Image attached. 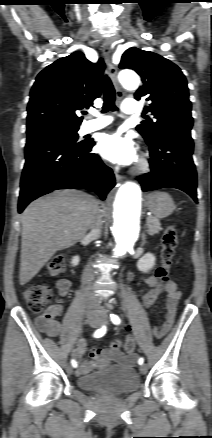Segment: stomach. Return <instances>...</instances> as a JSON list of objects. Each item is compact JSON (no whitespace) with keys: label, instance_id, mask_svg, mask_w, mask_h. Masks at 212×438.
Masks as SVG:
<instances>
[{"label":"stomach","instance_id":"stomach-1","mask_svg":"<svg viewBox=\"0 0 212 438\" xmlns=\"http://www.w3.org/2000/svg\"><path fill=\"white\" fill-rule=\"evenodd\" d=\"M147 208L156 218H165L175 209L174 201L166 192H151L145 198Z\"/></svg>","mask_w":212,"mask_h":438}]
</instances>
